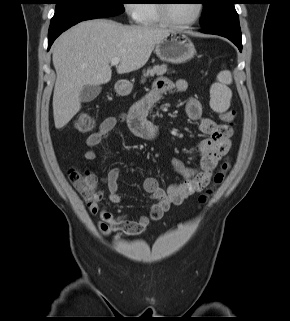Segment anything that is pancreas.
<instances>
[{
	"label": "pancreas",
	"instance_id": "pancreas-1",
	"mask_svg": "<svg viewBox=\"0 0 290 321\" xmlns=\"http://www.w3.org/2000/svg\"><path fill=\"white\" fill-rule=\"evenodd\" d=\"M167 72V65H156L152 69H148L146 72H144V77L148 76H154L155 74L157 75H162ZM145 79L142 80L144 82Z\"/></svg>",
	"mask_w": 290,
	"mask_h": 321
}]
</instances>
